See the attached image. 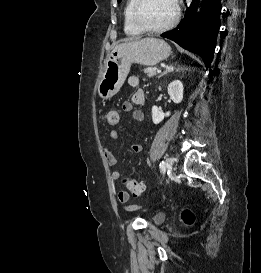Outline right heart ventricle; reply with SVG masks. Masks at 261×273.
Instances as JSON below:
<instances>
[{"label": "right heart ventricle", "instance_id": "e07e8e85", "mask_svg": "<svg viewBox=\"0 0 261 273\" xmlns=\"http://www.w3.org/2000/svg\"><path fill=\"white\" fill-rule=\"evenodd\" d=\"M134 0H128L124 10V31L128 35H138L141 32L133 25L130 17Z\"/></svg>", "mask_w": 261, "mask_h": 273}]
</instances>
